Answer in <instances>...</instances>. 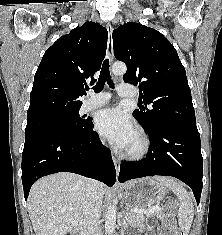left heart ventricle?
Wrapping results in <instances>:
<instances>
[{
  "mask_svg": "<svg viewBox=\"0 0 222 235\" xmlns=\"http://www.w3.org/2000/svg\"><path fill=\"white\" fill-rule=\"evenodd\" d=\"M139 144V139L137 137V135L135 134L132 141L130 142L129 146L127 147L128 148H134L136 147L137 145Z\"/></svg>",
  "mask_w": 222,
  "mask_h": 235,
  "instance_id": "obj_1",
  "label": "left heart ventricle"
}]
</instances>
